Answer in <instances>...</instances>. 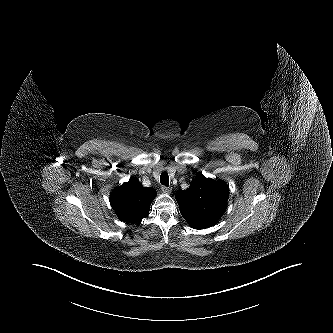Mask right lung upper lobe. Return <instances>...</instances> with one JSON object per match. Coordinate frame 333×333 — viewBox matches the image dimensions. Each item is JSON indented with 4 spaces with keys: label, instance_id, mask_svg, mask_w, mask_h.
<instances>
[{
    "label": "right lung upper lobe",
    "instance_id": "cb5924a9",
    "mask_svg": "<svg viewBox=\"0 0 333 333\" xmlns=\"http://www.w3.org/2000/svg\"><path fill=\"white\" fill-rule=\"evenodd\" d=\"M155 196L154 188L143 187L137 180L130 179L111 192L110 203L119 219L126 223H136L148 215Z\"/></svg>",
    "mask_w": 333,
    "mask_h": 333
}]
</instances>
